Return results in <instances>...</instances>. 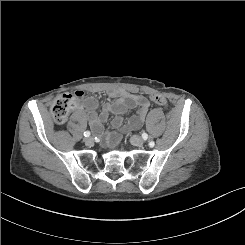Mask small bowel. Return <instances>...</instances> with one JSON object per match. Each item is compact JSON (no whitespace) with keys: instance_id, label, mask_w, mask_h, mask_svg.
I'll use <instances>...</instances> for the list:
<instances>
[{"instance_id":"obj_1","label":"small bowel","mask_w":245,"mask_h":245,"mask_svg":"<svg viewBox=\"0 0 245 245\" xmlns=\"http://www.w3.org/2000/svg\"><path fill=\"white\" fill-rule=\"evenodd\" d=\"M77 92L84 93L81 90ZM108 96L114 100L104 103L102 111H96L97 102L94 98H85L83 106L87 109L90 127L96 135L104 134V123L110 115H115L112 126L115 129H137L144 123L150 103L142 95L133 94L122 89H109ZM129 109H135V114L123 125V116ZM107 140V137H105Z\"/></svg>"}]
</instances>
